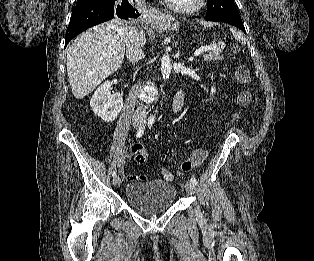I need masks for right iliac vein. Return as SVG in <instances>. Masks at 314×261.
Instances as JSON below:
<instances>
[{
	"instance_id": "obj_1",
	"label": "right iliac vein",
	"mask_w": 314,
	"mask_h": 261,
	"mask_svg": "<svg viewBox=\"0 0 314 261\" xmlns=\"http://www.w3.org/2000/svg\"><path fill=\"white\" fill-rule=\"evenodd\" d=\"M133 126H134V128H139V127H140V123L137 122V121H135V122L133 123ZM120 183H121V180H120L119 177H115V178L113 179V184H114L115 187H119Z\"/></svg>"
}]
</instances>
